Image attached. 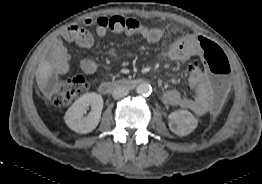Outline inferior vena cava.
Segmentation results:
<instances>
[{
  "mask_svg": "<svg viewBox=\"0 0 262 184\" xmlns=\"http://www.w3.org/2000/svg\"><path fill=\"white\" fill-rule=\"evenodd\" d=\"M129 93L128 89L125 87H117L113 90L112 96L114 99H120L127 96Z\"/></svg>",
  "mask_w": 262,
  "mask_h": 184,
  "instance_id": "602c4592",
  "label": "inferior vena cava"
}]
</instances>
